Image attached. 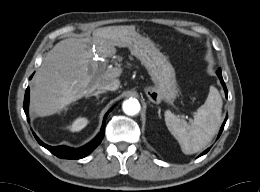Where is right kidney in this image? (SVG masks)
Returning a JSON list of instances; mask_svg holds the SVG:
<instances>
[{"label": "right kidney", "mask_w": 260, "mask_h": 192, "mask_svg": "<svg viewBox=\"0 0 260 192\" xmlns=\"http://www.w3.org/2000/svg\"><path fill=\"white\" fill-rule=\"evenodd\" d=\"M88 124V120L86 118H78L76 119L72 125L70 126L71 131H80Z\"/></svg>", "instance_id": "right-kidney-1"}]
</instances>
